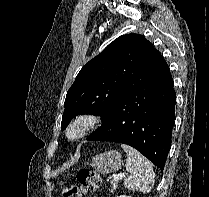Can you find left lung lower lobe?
Instances as JSON below:
<instances>
[{
  "mask_svg": "<svg viewBox=\"0 0 209 197\" xmlns=\"http://www.w3.org/2000/svg\"><path fill=\"white\" fill-rule=\"evenodd\" d=\"M175 102L170 69L160 54L144 77L115 102L101 127L87 140L130 145L163 172L171 146Z\"/></svg>",
  "mask_w": 209,
  "mask_h": 197,
  "instance_id": "0a47b994",
  "label": "left lung lower lobe"
}]
</instances>
